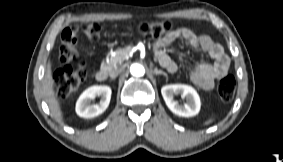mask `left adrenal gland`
<instances>
[{
    "instance_id": "left-adrenal-gland-1",
    "label": "left adrenal gland",
    "mask_w": 283,
    "mask_h": 162,
    "mask_svg": "<svg viewBox=\"0 0 283 162\" xmlns=\"http://www.w3.org/2000/svg\"><path fill=\"white\" fill-rule=\"evenodd\" d=\"M154 74H155V75L162 74V75H164L166 78L168 77V76H167V73H165V72L162 71V70H158L157 68H154Z\"/></svg>"
}]
</instances>
